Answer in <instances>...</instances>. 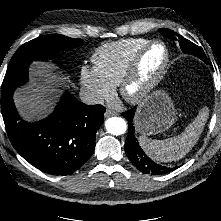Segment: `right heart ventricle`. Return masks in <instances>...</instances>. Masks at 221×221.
Returning <instances> with one entry per match:
<instances>
[{
	"label": "right heart ventricle",
	"instance_id": "e07e8e85",
	"mask_svg": "<svg viewBox=\"0 0 221 221\" xmlns=\"http://www.w3.org/2000/svg\"><path fill=\"white\" fill-rule=\"evenodd\" d=\"M148 42L146 38H125L105 43L92 55L94 67L105 81L115 87L133 56Z\"/></svg>",
	"mask_w": 221,
	"mask_h": 221
}]
</instances>
